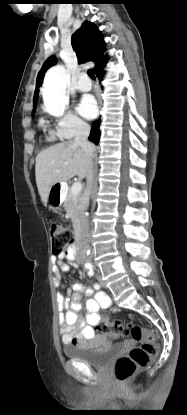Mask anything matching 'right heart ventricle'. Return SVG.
I'll list each match as a JSON object with an SVG mask.
<instances>
[{
  "mask_svg": "<svg viewBox=\"0 0 187 415\" xmlns=\"http://www.w3.org/2000/svg\"><path fill=\"white\" fill-rule=\"evenodd\" d=\"M39 126L43 130L47 131V140L48 141H55L59 137L57 131H53V130L49 129L43 119L39 120Z\"/></svg>",
  "mask_w": 187,
  "mask_h": 415,
  "instance_id": "right-heart-ventricle-1",
  "label": "right heart ventricle"
}]
</instances>
